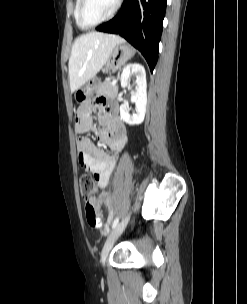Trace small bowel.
<instances>
[{
  "label": "small bowel",
  "instance_id": "c3829d8e",
  "mask_svg": "<svg viewBox=\"0 0 247 304\" xmlns=\"http://www.w3.org/2000/svg\"><path fill=\"white\" fill-rule=\"evenodd\" d=\"M94 110L100 115L97 119L99 128L94 125ZM75 130L80 135L77 140L78 159L80 164L94 175L99 188L103 189L109 183L117 162V154L127 143V129L118 115L115 102L99 98L94 104H82L77 112ZM93 131L102 144L114 154H108L98 148L86 133Z\"/></svg>",
  "mask_w": 247,
  "mask_h": 304
}]
</instances>
